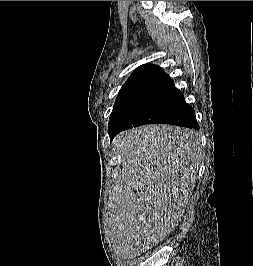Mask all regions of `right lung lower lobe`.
Here are the masks:
<instances>
[{
	"label": "right lung lower lobe",
	"mask_w": 253,
	"mask_h": 266,
	"mask_svg": "<svg viewBox=\"0 0 253 266\" xmlns=\"http://www.w3.org/2000/svg\"><path fill=\"white\" fill-rule=\"evenodd\" d=\"M156 123L173 124L182 127L199 129L193 108L185 102L184 96L177 88L174 89L171 106L166 115ZM126 123L109 124V135L112 140L119 132L129 129Z\"/></svg>",
	"instance_id": "right-lung-lower-lobe-1"
}]
</instances>
